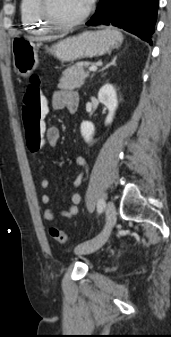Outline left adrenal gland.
<instances>
[{"mask_svg": "<svg viewBox=\"0 0 171 337\" xmlns=\"http://www.w3.org/2000/svg\"><path fill=\"white\" fill-rule=\"evenodd\" d=\"M116 62V57L109 63L107 64L105 67H103L101 70L99 71H103L104 69H107L108 67H110L111 65H115ZM94 76V74L92 75V77Z\"/></svg>", "mask_w": 171, "mask_h": 337, "instance_id": "a2214340", "label": "left adrenal gland"}]
</instances>
